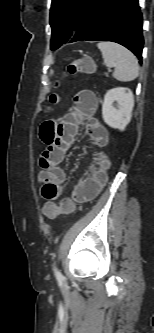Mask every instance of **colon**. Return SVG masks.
Returning a JSON list of instances; mask_svg holds the SVG:
<instances>
[{
  "mask_svg": "<svg viewBox=\"0 0 154 333\" xmlns=\"http://www.w3.org/2000/svg\"><path fill=\"white\" fill-rule=\"evenodd\" d=\"M94 71V63L91 58H82L69 64L67 72L69 74L92 73ZM60 101V96L53 93L49 97L51 105H55ZM75 206L70 199H63L59 204L46 202L43 206V213L49 219H54L60 215H71Z\"/></svg>",
  "mask_w": 154,
  "mask_h": 333,
  "instance_id": "obj_1",
  "label": "colon"
}]
</instances>
